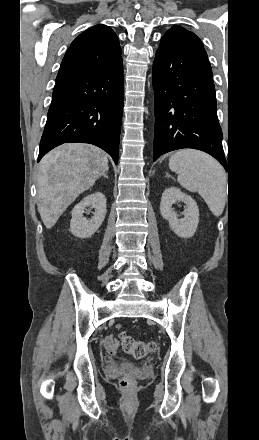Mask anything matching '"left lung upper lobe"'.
I'll use <instances>...</instances> for the list:
<instances>
[{
  "label": "left lung upper lobe",
  "mask_w": 259,
  "mask_h": 440,
  "mask_svg": "<svg viewBox=\"0 0 259 440\" xmlns=\"http://www.w3.org/2000/svg\"><path fill=\"white\" fill-rule=\"evenodd\" d=\"M162 38L174 39L182 42H192L203 47L200 39L194 33L180 26L172 27L164 34Z\"/></svg>",
  "instance_id": "left-lung-upper-lobe-1"
}]
</instances>
